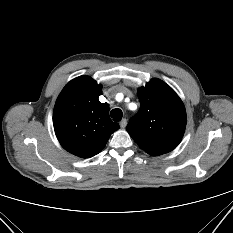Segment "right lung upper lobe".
<instances>
[{
	"label": "right lung upper lobe",
	"mask_w": 233,
	"mask_h": 233,
	"mask_svg": "<svg viewBox=\"0 0 233 233\" xmlns=\"http://www.w3.org/2000/svg\"><path fill=\"white\" fill-rule=\"evenodd\" d=\"M102 87L89 76L70 81L57 98L53 125L62 147L73 155L90 158L105 147L119 128L106 103L99 102Z\"/></svg>",
	"instance_id": "1"
}]
</instances>
